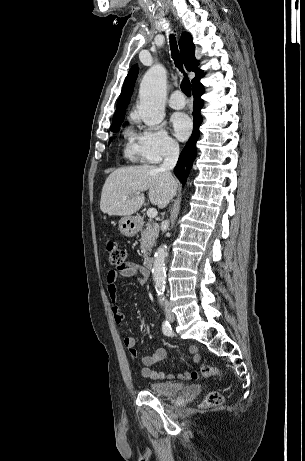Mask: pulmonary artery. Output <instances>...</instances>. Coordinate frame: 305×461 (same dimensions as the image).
Returning a JSON list of instances; mask_svg holds the SVG:
<instances>
[{"label":"pulmonary artery","mask_w":305,"mask_h":461,"mask_svg":"<svg viewBox=\"0 0 305 461\" xmlns=\"http://www.w3.org/2000/svg\"><path fill=\"white\" fill-rule=\"evenodd\" d=\"M168 104L173 109H182L186 105V99L184 98L182 92L175 91L171 94Z\"/></svg>","instance_id":"obj_1"}]
</instances>
